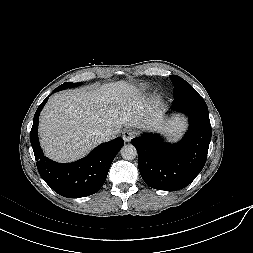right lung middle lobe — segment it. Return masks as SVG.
Masks as SVG:
<instances>
[{
    "instance_id": "obj_1",
    "label": "right lung middle lobe",
    "mask_w": 253,
    "mask_h": 253,
    "mask_svg": "<svg viewBox=\"0 0 253 253\" xmlns=\"http://www.w3.org/2000/svg\"><path fill=\"white\" fill-rule=\"evenodd\" d=\"M78 85H80V83L66 82V83L60 85L58 88H59L60 90H63V89H65V88H68V87H75V86H78Z\"/></svg>"
}]
</instances>
